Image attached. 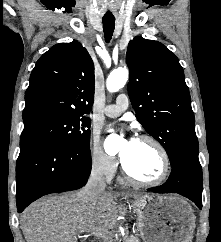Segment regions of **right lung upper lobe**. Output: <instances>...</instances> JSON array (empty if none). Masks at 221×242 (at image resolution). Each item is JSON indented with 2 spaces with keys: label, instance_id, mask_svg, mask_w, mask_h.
<instances>
[{
  "label": "right lung upper lobe",
  "instance_id": "right-lung-upper-lobe-1",
  "mask_svg": "<svg viewBox=\"0 0 221 242\" xmlns=\"http://www.w3.org/2000/svg\"><path fill=\"white\" fill-rule=\"evenodd\" d=\"M94 64L78 42L59 43L37 61L25 93L24 125L88 113L94 99Z\"/></svg>",
  "mask_w": 221,
  "mask_h": 242
}]
</instances>
